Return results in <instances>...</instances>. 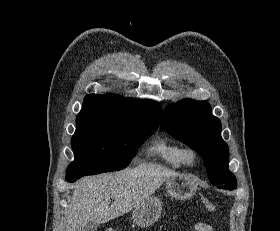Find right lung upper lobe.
<instances>
[{
  "label": "right lung upper lobe",
  "mask_w": 280,
  "mask_h": 231,
  "mask_svg": "<svg viewBox=\"0 0 280 231\" xmlns=\"http://www.w3.org/2000/svg\"><path fill=\"white\" fill-rule=\"evenodd\" d=\"M112 118L157 127L161 118V106L151 100H135L114 94H90L84 98L78 120Z\"/></svg>",
  "instance_id": "cb5924a9"
}]
</instances>
